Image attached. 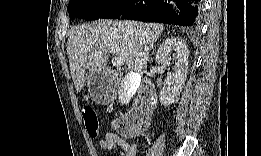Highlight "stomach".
Returning <instances> with one entry per match:
<instances>
[{
    "instance_id": "0dacf381",
    "label": "stomach",
    "mask_w": 261,
    "mask_h": 156,
    "mask_svg": "<svg viewBox=\"0 0 261 156\" xmlns=\"http://www.w3.org/2000/svg\"><path fill=\"white\" fill-rule=\"evenodd\" d=\"M99 81L107 82L109 86H111L110 77L107 72H96L88 78L89 90H91L93 84L98 83Z\"/></svg>"
}]
</instances>
